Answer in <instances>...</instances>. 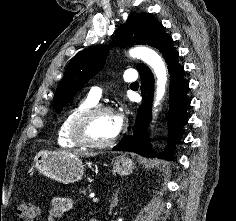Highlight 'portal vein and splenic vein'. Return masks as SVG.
Segmentation results:
<instances>
[{
  "instance_id": "18ae733b",
  "label": "portal vein and splenic vein",
  "mask_w": 236,
  "mask_h": 221,
  "mask_svg": "<svg viewBox=\"0 0 236 221\" xmlns=\"http://www.w3.org/2000/svg\"><path fill=\"white\" fill-rule=\"evenodd\" d=\"M92 201H93V202H98V201H99V198L93 197V198H92Z\"/></svg>"
}]
</instances>
